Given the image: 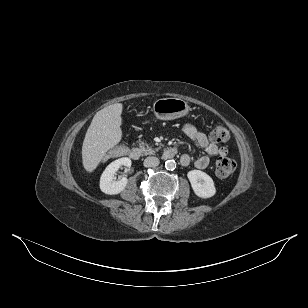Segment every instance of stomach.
Returning a JSON list of instances; mask_svg holds the SVG:
<instances>
[{
	"label": "stomach",
	"mask_w": 308,
	"mask_h": 308,
	"mask_svg": "<svg viewBox=\"0 0 308 308\" xmlns=\"http://www.w3.org/2000/svg\"><path fill=\"white\" fill-rule=\"evenodd\" d=\"M188 103L180 98H161L154 102L153 113L157 119L173 120L189 113Z\"/></svg>",
	"instance_id": "1"
}]
</instances>
